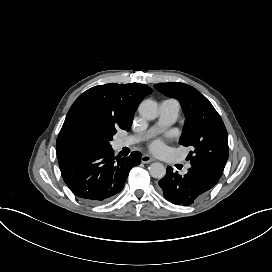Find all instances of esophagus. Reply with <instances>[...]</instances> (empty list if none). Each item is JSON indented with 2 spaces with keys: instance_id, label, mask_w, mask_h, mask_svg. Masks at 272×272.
Wrapping results in <instances>:
<instances>
[{
  "instance_id": "obj_1",
  "label": "esophagus",
  "mask_w": 272,
  "mask_h": 272,
  "mask_svg": "<svg viewBox=\"0 0 272 272\" xmlns=\"http://www.w3.org/2000/svg\"><path fill=\"white\" fill-rule=\"evenodd\" d=\"M154 161V158L151 155L148 154H144L141 157V162L142 163H151Z\"/></svg>"
}]
</instances>
